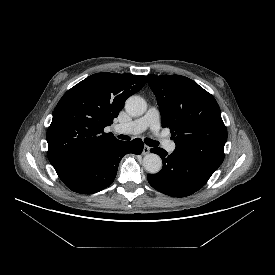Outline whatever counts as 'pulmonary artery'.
Wrapping results in <instances>:
<instances>
[{
	"label": "pulmonary artery",
	"mask_w": 275,
	"mask_h": 275,
	"mask_svg": "<svg viewBox=\"0 0 275 275\" xmlns=\"http://www.w3.org/2000/svg\"><path fill=\"white\" fill-rule=\"evenodd\" d=\"M160 128V113L156 107H151L146 114L132 122L125 124H118L115 126V130L119 133H131L138 134L146 129H150L153 132H157ZM164 147L172 152L175 149V144L168 140L162 141Z\"/></svg>",
	"instance_id": "pulmonary-artery-1"
}]
</instances>
